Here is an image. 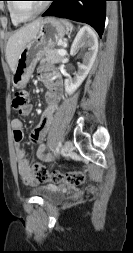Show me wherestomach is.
Returning a JSON list of instances; mask_svg holds the SVG:
<instances>
[{
    "label": "stomach",
    "mask_w": 133,
    "mask_h": 253,
    "mask_svg": "<svg viewBox=\"0 0 133 253\" xmlns=\"http://www.w3.org/2000/svg\"><path fill=\"white\" fill-rule=\"evenodd\" d=\"M66 32L65 27L57 19L48 17L42 20L37 35L19 55L12 77L15 87L21 88L26 85L44 52L58 45Z\"/></svg>",
    "instance_id": "0dacf381"
}]
</instances>
